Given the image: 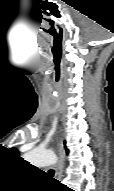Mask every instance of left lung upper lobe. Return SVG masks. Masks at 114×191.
<instances>
[{
	"label": "left lung upper lobe",
	"instance_id": "1",
	"mask_svg": "<svg viewBox=\"0 0 114 191\" xmlns=\"http://www.w3.org/2000/svg\"><path fill=\"white\" fill-rule=\"evenodd\" d=\"M12 151H13L15 154H18V151H17L16 149L12 148ZM66 151H67V153H68V149H67V148H66Z\"/></svg>",
	"mask_w": 114,
	"mask_h": 191
}]
</instances>
